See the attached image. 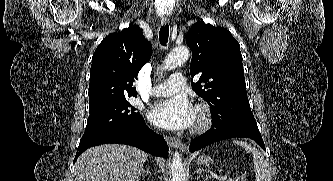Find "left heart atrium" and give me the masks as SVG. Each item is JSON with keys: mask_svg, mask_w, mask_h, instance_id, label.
<instances>
[{"mask_svg": "<svg viewBox=\"0 0 333 181\" xmlns=\"http://www.w3.org/2000/svg\"><path fill=\"white\" fill-rule=\"evenodd\" d=\"M195 110L185 96H175L155 104L149 118L155 125L178 130L190 127L195 122Z\"/></svg>", "mask_w": 333, "mask_h": 181, "instance_id": "1", "label": "left heart atrium"}]
</instances>
